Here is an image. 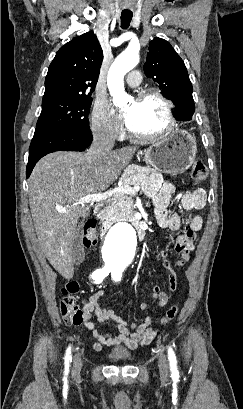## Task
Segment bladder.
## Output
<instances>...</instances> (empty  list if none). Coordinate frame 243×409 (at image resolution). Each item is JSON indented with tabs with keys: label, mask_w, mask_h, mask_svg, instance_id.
<instances>
[{
	"label": "bladder",
	"mask_w": 243,
	"mask_h": 409,
	"mask_svg": "<svg viewBox=\"0 0 243 409\" xmlns=\"http://www.w3.org/2000/svg\"><path fill=\"white\" fill-rule=\"evenodd\" d=\"M107 357L113 362L129 361L132 357L131 352L125 347H114L107 353Z\"/></svg>",
	"instance_id": "31cf9c89"
}]
</instances>
